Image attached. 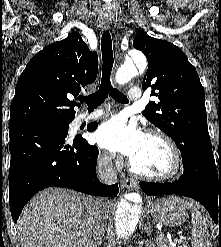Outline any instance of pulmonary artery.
Masks as SVG:
<instances>
[{"instance_id": "1", "label": "pulmonary artery", "mask_w": 221, "mask_h": 247, "mask_svg": "<svg viewBox=\"0 0 221 247\" xmlns=\"http://www.w3.org/2000/svg\"><path fill=\"white\" fill-rule=\"evenodd\" d=\"M128 97L130 100L136 101L139 100L141 98V90L139 88H133L129 91L128 93ZM105 112L98 110V111H94L90 114H83L82 119H94V118H98L102 115H104Z\"/></svg>"}]
</instances>
